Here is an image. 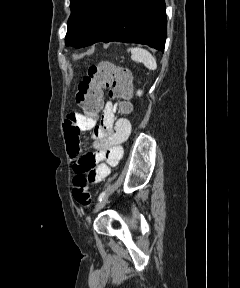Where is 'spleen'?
<instances>
[{
  "label": "spleen",
  "mask_w": 240,
  "mask_h": 288,
  "mask_svg": "<svg viewBox=\"0 0 240 288\" xmlns=\"http://www.w3.org/2000/svg\"><path fill=\"white\" fill-rule=\"evenodd\" d=\"M128 51L131 53V58L134 61L142 62L149 70H155L157 68L155 58L146 49L134 47L129 48Z\"/></svg>",
  "instance_id": "3e777b00"
}]
</instances>
